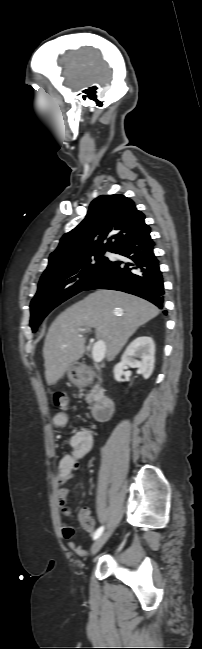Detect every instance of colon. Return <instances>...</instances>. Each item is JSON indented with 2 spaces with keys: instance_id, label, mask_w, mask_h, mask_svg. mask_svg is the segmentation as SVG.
<instances>
[{
  "instance_id": "colon-1",
  "label": "colon",
  "mask_w": 202,
  "mask_h": 649,
  "mask_svg": "<svg viewBox=\"0 0 202 649\" xmlns=\"http://www.w3.org/2000/svg\"><path fill=\"white\" fill-rule=\"evenodd\" d=\"M53 401L56 407L64 409L68 404V395L64 391L55 392L53 395Z\"/></svg>"
}]
</instances>
